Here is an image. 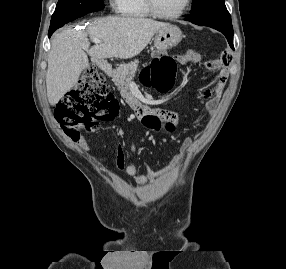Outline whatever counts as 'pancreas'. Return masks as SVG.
<instances>
[{
	"label": "pancreas",
	"instance_id": "obj_1",
	"mask_svg": "<svg viewBox=\"0 0 286 269\" xmlns=\"http://www.w3.org/2000/svg\"><path fill=\"white\" fill-rule=\"evenodd\" d=\"M138 63V61H134L122 64L111 73L112 80L120 91L121 96L129 102L134 100V96L130 92L129 83L135 76Z\"/></svg>",
	"mask_w": 286,
	"mask_h": 269
}]
</instances>
